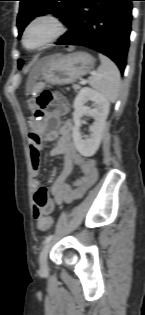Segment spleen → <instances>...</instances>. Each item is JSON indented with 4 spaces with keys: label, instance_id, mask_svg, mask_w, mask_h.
<instances>
[{
    "label": "spleen",
    "instance_id": "1",
    "mask_svg": "<svg viewBox=\"0 0 145 315\" xmlns=\"http://www.w3.org/2000/svg\"><path fill=\"white\" fill-rule=\"evenodd\" d=\"M99 58L101 65L98 67L97 74L89 77L88 83L108 101L115 102L121 88L119 69L108 57L99 54Z\"/></svg>",
    "mask_w": 145,
    "mask_h": 315
}]
</instances>
